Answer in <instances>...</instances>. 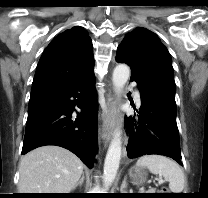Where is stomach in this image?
<instances>
[{
	"label": "stomach",
	"mask_w": 208,
	"mask_h": 198,
	"mask_svg": "<svg viewBox=\"0 0 208 198\" xmlns=\"http://www.w3.org/2000/svg\"><path fill=\"white\" fill-rule=\"evenodd\" d=\"M147 175L142 167L134 166L129 170L130 179L135 185H143L147 180Z\"/></svg>",
	"instance_id": "1"
}]
</instances>
